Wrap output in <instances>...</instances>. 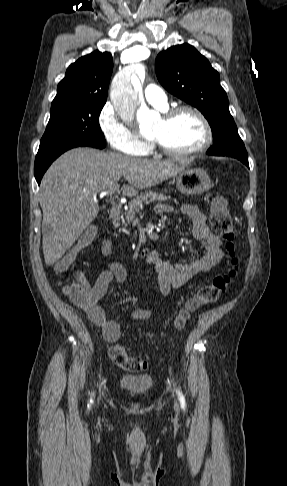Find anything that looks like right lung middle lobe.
Instances as JSON below:
<instances>
[{
    "mask_svg": "<svg viewBox=\"0 0 287 486\" xmlns=\"http://www.w3.org/2000/svg\"><path fill=\"white\" fill-rule=\"evenodd\" d=\"M106 102L82 101L52 106L38 154L72 146L104 148L99 115Z\"/></svg>",
    "mask_w": 287,
    "mask_h": 486,
    "instance_id": "obj_1",
    "label": "right lung middle lobe"
}]
</instances>
